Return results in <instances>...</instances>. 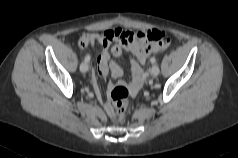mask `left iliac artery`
I'll return each mask as SVG.
<instances>
[{
    "label": "left iliac artery",
    "mask_w": 238,
    "mask_h": 158,
    "mask_svg": "<svg viewBox=\"0 0 238 158\" xmlns=\"http://www.w3.org/2000/svg\"><path fill=\"white\" fill-rule=\"evenodd\" d=\"M150 61H151L152 64H154L156 62V58L153 57V58H151Z\"/></svg>",
    "instance_id": "1"
}]
</instances>
